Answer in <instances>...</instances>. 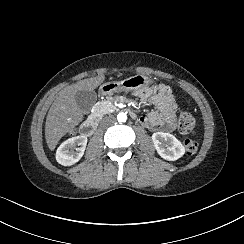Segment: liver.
<instances>
[{"mask_svg":"<svg viewBox=\"0 0 244 244\" xmlns=\"http://www.w3.org/2000/svg\"><path fill=\"white\" fill-rule=\"evenodd\" d=\"M104 76L88 78L65 87L51 105L45 123V138L50 150H54L59 140L83 120V112L78 107L77 91L93 90L103 81Z\"/></svg>","mask_w":244,"mask_h":244,"instance_id":"obj_1","label":"liver"}]
</instances>
